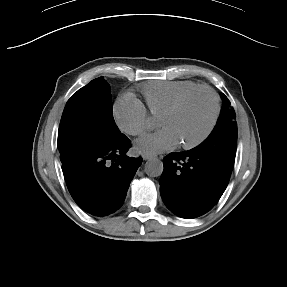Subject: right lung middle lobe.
I'll return each instance as SVG.
<instances>
[{
    "instance_id": "right-lung-middle-lobe-1",
    "label": "right lung middle lobe",
    "mask_w": 287,
    "mask_h": 287,
    "mask_svg": "<svg viewBox=\"0 0 287 287\" xmlns=\"http://www.w3.org/2000/svg\"><path fill=\"white\" fill-rule=\"evenodd\" d=\"M123 134L115 124L110 86L103 77L79 89L66 103L59 131L60 160L105 147Z\"/></svg>"
}]
</instances>
